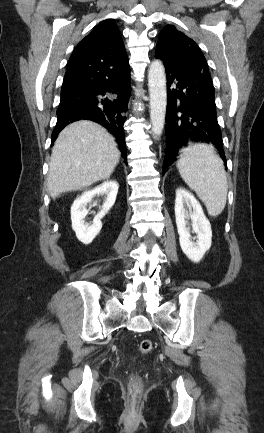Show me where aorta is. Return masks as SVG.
Listing matches in <instances>:
<instances>
[{
  "mask_svg": "<svg viewBox=\"0 0 264 433\" xmlns=\"http://www.w3.org/2000/svg\"><path fill=\"white\" fill-rule=\"evenodd\" d=\"M148 87L152 133L155 137H160L164 129L167 106L166 75L160 60L152 61L149 67Z\"/></svg>",
  "mask_w": 264,
  "mask_h": 433,
  "instance_id": "aorta-1",
  "label": "aorta"
}]
</instances>
